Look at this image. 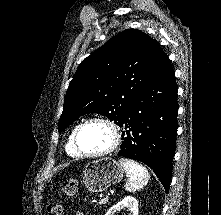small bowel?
Masks as SVG:
<instances>
[{
    "instance_id": "small-bowel-1",
    "label": "small bowel",
    "mask_w": 221,
    "mask_h": 215,
    "mask_svg": "<svg viewBox=\"0 0 221 215\" xmlns=\"http://www.w3.org/2000/svg\"><path fill=\"white\" fill-rule=\"evenodd\" d=\"M76 215H83L82 213H80V212H76Z\"/></svg>"
}]
</instances>
